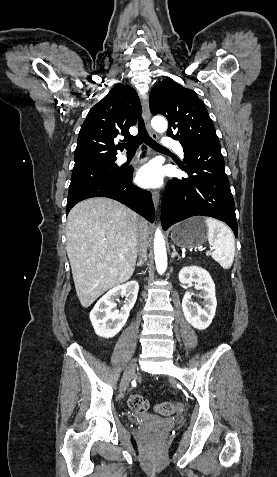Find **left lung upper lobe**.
<instances>
[{"instance_id":"5c2ea615","label":"left lung upper lobe","mask_w":277,"mask_h":477,"mask_svg":"<svg viewBox=\"0 0 277 477\" xmlns=\"http://www.w3.org/2000/svg\"><path fill=\"white\" fill-rule=\"evenodd\" d=\"M149 104L152 115L167 117V135L183 147L220 145L208 111L194 91L163 80L152 89Z\"/></svg>"}]
</instances>
